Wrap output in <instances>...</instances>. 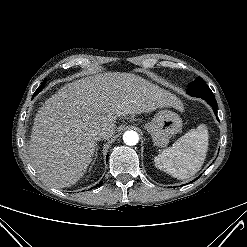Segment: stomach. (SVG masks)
Instances as JSON below:
<instances>
[{"label": "stomach", "instance_id": "obj_1", "mask_svg": "<svg viewBox=\"0 0 247 247\" xmlns=\"http://www.w3.org/2000/svg\"><path fill=\"white\" fill-rule=\"evenodd\" d=\"M144 128L151 135L153 145L163 148L168 145L172 136L180 132L182 119L175 112L161 110Z\"/></svg>", "mask_w": 247, "mask_h": 247}]
</instances>
